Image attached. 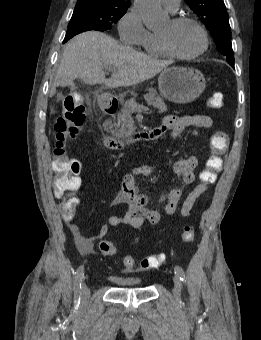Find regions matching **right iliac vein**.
<instances>
[{
  "label": "right iliac vein",
  "instance_id": "63e3f726",
  "mask_svg": "<svg viewBox=\"0 0 261 340\" xmlns=\"http://www.w3.org/2000/svg\"><path fill=\"white\" fill-rule=\"evenodd\" d=\"M89 296H90V290L88 286L86 285V283L83 282L82 287H81V297L84 301H87L89 299Z\"/></svg>",
  "mask_w": 261,
  "mask_h": 340
}]
</instances>
